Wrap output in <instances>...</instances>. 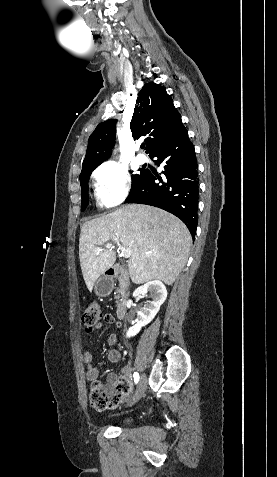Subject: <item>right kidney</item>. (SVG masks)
I'll use <instances>...</instances> for the list:
<instances>
[{"instance_id": "1", "label": "right kidney", "mask_w": 277, "mask_h": 477, "mask_svg": "<svg viewBox=\"0 0 277 477\" xmlns=\"http://www.w3.org/2000/svg\"><path fill=\"white\" fill-rule=\"evenodd\" d=\"M148 292L150 293L152 300L149 301V303L138 312L136 323L128 329L126 333L127 337L135 336L139 333L143 326H146L148 323H150L158 313L160 306L166 300V287L159 280H153L138 287L134 291L133 297L139 299L142 296L146 295Z\"/></svg>"}]
</instances>
